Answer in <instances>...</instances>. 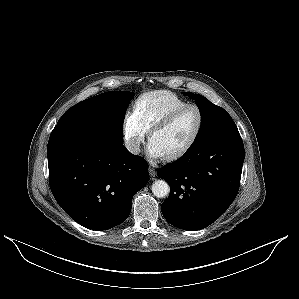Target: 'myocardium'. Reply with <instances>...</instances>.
Wrapping results in <instances>:
<instances>
[{
	"label": "myocardium",
	"instance_id": "f54148a6",
	"mask_svg": "<svg viewBox=\"0 0 299 299\" xmlns=\"http://www.w3.org/2000/svg\"><path fill=\"white\" fill-rule=\"evenodd\" d=\"M188 109H195L198 112V116H199V121H198V125L197 128L193 134V136L191 137V139L186 143V145H184L181 149L170 153L166 156H164L167 160H175L178 159L182 156H184L186 153H188L192 147L196 144L203 126H204V121H205V117H204V112L201 109V107H199L196 104H187L184 105L176 110H174L173 112H171L169 115H167L165 118H163L162 120H160L159 122L155 123L150 129H149V139L151 140L152 136L154 135V133H156L157 131L164 129L166 127H168L170 124H172L183 112H185Z\"/></svg>",
	"mask_w": 299,
	"mask_h": 299
}]
</instances>
